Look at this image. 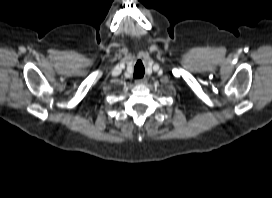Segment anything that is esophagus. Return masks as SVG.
I'll return each mask as SVG.
<instances>
[{
    "label": "esophagus",
    "mask_w": 272,
    "mask_h": 198,
    "mask_svg": "<svg viewBox=\"0 0 272 198\" xmlns=\"http://www.w3.org/2000/svg\"><path fill=\"white\" fill-rule=\"evenodd\" d=\"M144 83H145L144 80H138V81H136V84H137V85H142V84H144Z\"/></svg>",
    "instance_id": "obj_1"
}]
</instances>
